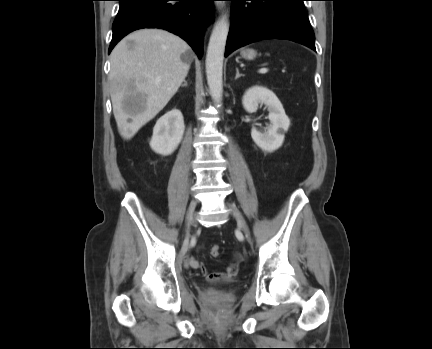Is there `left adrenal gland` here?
<instances>
[{
    "instance_id": "left-adrenal-gland-1",
    "label": "left adrenal gland",
    "mask_w": 432,
    "mask_h": 349,
    "mask_svg": "<svg viewBox=\"0 0 432 349\" xmlns=\"http://www.w3.org/2000/svg\"><path fill=\"white\" fill-rule=\"evenodd\" d=\"M243 76V74L239 73V69L236 68V76H235V80L238 79L239 77Z\"/></svg>"
}]
</instances>
